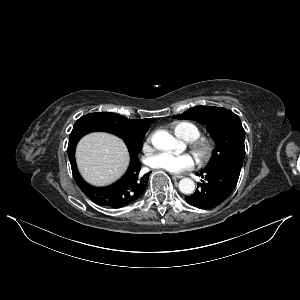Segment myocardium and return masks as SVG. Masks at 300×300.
Here are the masks:
<instances>
[{
	"mask_svg": "<svg viewBox=\"0 0 300 300\" xmlns=\"http://www.w3.org/2000/svg\"><path fill=\"white\" fill-rule=\"evenodd\" d=\"M191 148L197 161L200 164H206L215 156L217 144L211 138H200L192 142Z\"/></svg>",
	"mask_w": 300,
	"mask_h": 300,
	"instance_id": "myocardium-1",
	"label": "myocardium"
}]
</instances>
